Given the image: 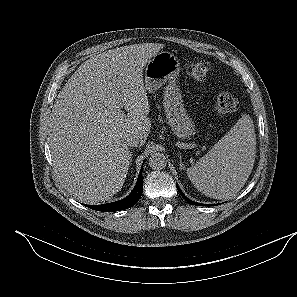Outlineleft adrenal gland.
I'll list each match as a JSON object with an SVG mask.
<instances>
[{
  "mask_svg": "<svg viewBox=\"0 0 297 297\" xmlns=\"http://www.w3.org/2000/svg\"><path fill=\"white\" fill-rule=\"evenodd\" d=\"M179 165H180V169H184V164H183V161H182V156L180 154V162H179Z\"/></svg>",
  "mask_w": 297,
  "mask_h": 297,
  "instance_id": "a2214340",
  "label": "left adrenal gland"
}]
</instances>
